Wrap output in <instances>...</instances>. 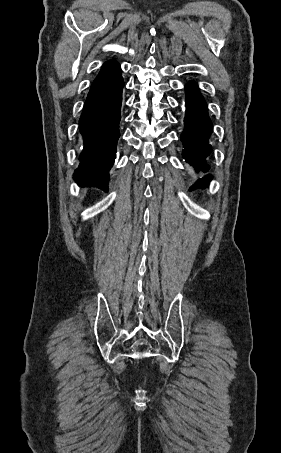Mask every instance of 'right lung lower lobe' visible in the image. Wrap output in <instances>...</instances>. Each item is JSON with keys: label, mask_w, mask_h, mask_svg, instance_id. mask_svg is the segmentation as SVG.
I'll list each match as a JSON object with an SVG mask.
<instances>
[{"label": "right lung lower lobe", "mask_w": 281, "mask_h": 453, "mask_svg": "<svg viewBox=\"0 0 281 453\" xmlns=\"http://www.w3.org/2000/svg\"><path fill=\"white\" fill-rule=\"evenodd\" d=\"M123 87L120 65L106 62L91 85L79 120L84 147L73 178L80 185L107 190L120 136Z\"/></svg>", "instance_id": "right-lung-lower-lobe-1"}]
</instances>
